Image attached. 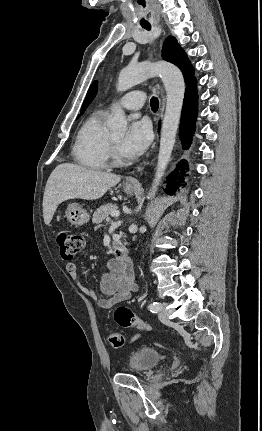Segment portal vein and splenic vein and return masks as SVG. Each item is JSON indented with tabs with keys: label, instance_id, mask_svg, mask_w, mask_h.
<instances>
[{
	"label": "portal vein and splenic vein",
	"instance_id": "1",
	"mask_svg": "<svg viewBox=\"0 0 262 431\" xmlns=\"http://www.w3.org/2000/svg\"><path fill=\"white\" fill-rule=\"evenodd\" d=\"M119 215H120V213L118 211H112L111 212L112 217H118Z\"/></svg>",
	"mask_w": 262,
	"mask_h": 431
}]
</instances>
